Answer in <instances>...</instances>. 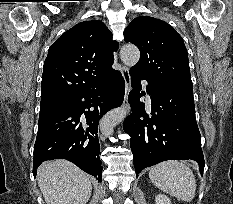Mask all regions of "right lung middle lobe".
Segmentation results:
<instances>
[{"label":"right lung middle lobe","instance_id":"obj_1","mask_svg":"<svg viewBox=\"0 0 233 204\" xmlns=\"http://www.w3.org/2000/svg\"><path fill=\"white\" fill-rule=\"evenodd\" d=\"M66 101H56L50 103H44L40 105V115L39 119L43 118L51 113L55 112L57 109L62 107Z\"/></svg>","mask_w":233,"mask_h":204}]
</instances>
